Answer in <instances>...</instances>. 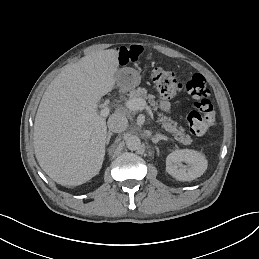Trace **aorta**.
Instances as JSON below:
<instances>
[{
	"instance_id": "762f6f07",
	"label": "aorta",
	"mask_w": 259,
	"mask_h": 259,
	"mask_svg": "<svg viewBox=\"0 0 259 259\" xmlns=\"http://www.w3.org/2000/svg\"><path fill=\"white\" fill-rule=\"evenodd\" d=\"M126 146L129 150H138L141 147V140L136 135H130L126 138Z\"/></svg>"
}]
</instances>
